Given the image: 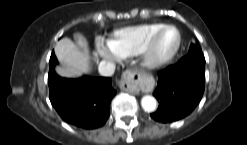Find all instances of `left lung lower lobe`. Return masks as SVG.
I'll use <instances>...</instances> for the list:
<instances>
[{
  "label": "left lung lower lobe",
  "mask_w": 247,
  "mask_h": 145,
  "mask_svg": "<svg viewBox=\"0 0 247 145\" xmlns=\"http://www.w3.org/2000/svg\"><path fill=\"white\" fill-rule=\"evenodd\" d=\"M205 88V58L201 50L190 51L175 65L158 73L153 93L159 107L151 117L172 122L189 115L199 103Z\"/></svg>",
  "instance_id": "left-lung-lower-lobe-1"
}]
</instances>
